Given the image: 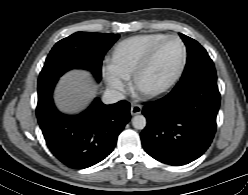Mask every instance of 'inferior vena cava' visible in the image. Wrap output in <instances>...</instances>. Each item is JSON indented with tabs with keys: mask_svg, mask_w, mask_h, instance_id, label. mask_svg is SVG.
Listing matches in <instances>:
<instances>
[{
	"mask_svg": "<svg viewBox=\"0 0 248 195\" xmlns=\"http://www.w3.org/2000/svg\"><path fill=\"white\" fill-rule=\"evenodd\" d=\"M125 95L116 89H106L103 95V102L105 104L116 103L123 100Z\"/></svg>",
	"mask_w": 248,
	"mask_h": 195,
	"instance_id": "1",
	"label": "inferior vena cava"
}]
</instances>
